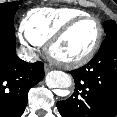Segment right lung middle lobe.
<instances>
[{"instance_id":"right-lung-middle-lobe-1","label":"right lung middle lobe","mask_w":117,"mask_h":117,"mask_svg":"<svg viewBox=\"0 0 117 117\" xmlns=\"http://www.w3.org/2000/svg\"><path fill=\"white\" fill-rule=\"evenodd\" d=\"M18 6V1L0 4V21L13 22L14 15L18 9Z\"/></svg>"}]
</instances>
